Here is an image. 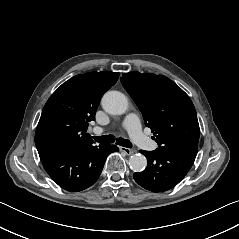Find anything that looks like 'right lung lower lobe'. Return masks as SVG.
<instances>
[{"label":"right lung lower lobe","instance_id":"1","mask_svg":"<svg viewBox=\"0 0 239 239\" xmlns=\"http://www.w3.org/2000/svg\"><path fill=\"white\" fill-rule=\"evenodd\" d=\"M118 150L115 145L90 144L48 150L39 156L47 173L61 188L78 192L97 181L107 155Z\"/></svg>","mask_w":239,"mask_h":239}]
</instances>
